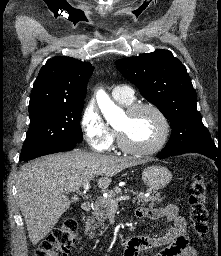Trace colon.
<instances>
[{
  "mask_svg": "<svg viewBox=\"0 0 221 256\" xmlns=\"http://www.w3.org/2000/svg\"><path fill=\"white\" fill-rule=\"evenodd\" d=\"M206 193L205 179L201 175H195L190 183L188 201L194 232L201 238L209 230ZM77 230V222L72 218L66 219L40 243L34 256H67L75 248Z\"/></svg>",
  "mask_w": 221,
  "mask_h": 256,
  "instance_id": "1",
  "label": "colon"
}]
</instances>
